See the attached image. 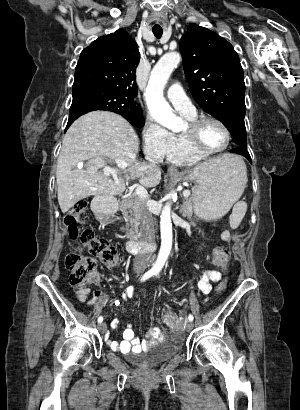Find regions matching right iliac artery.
Listing matches in <instances>:
<instances>
[{
    "label": "right iliac artery",
    "mask_w": 300,
    "mask_h": 410,
    "mask_svg": "<svg viewBox=\"0 0 300 410\" xmlns=\"http://www.w3.org/2000/svg\"><path fill=\"white\" fill-rule=\"evenodd\" d=\"M153 274H154V273L151 272V271L146 272V273L142 276L141 281L147 280V279L150 278ZM102 321H103V317L100 316V317L98 318V323H102Z\"/></svg>",
    "instance_id": "obj_1"
}]
</instances>
